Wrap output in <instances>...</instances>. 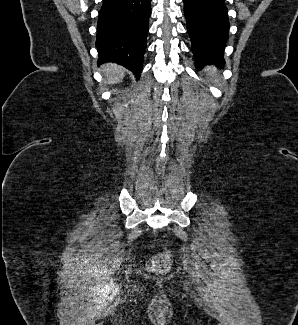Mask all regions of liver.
<instances>
[{
	"mask_svg": "<svg viewBox=\"0 0 298 325\" xmlns=\"http://www.w3.org/2000/svg\"><path fill=\"white\" fill-rule=\"evenodd\" d=\"M101 70L105 72L108 84H115V82H121L124 74L125 68L119 66V64H112V62H107V64H103Z\"/></svg>",
	"mask_w": 298,
	"mask_h": 325,
	"instance_id": "liver-1",
	"label": "liver"
}]
</instances>
